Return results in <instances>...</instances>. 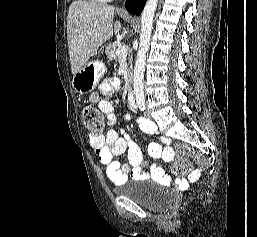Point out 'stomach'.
Masks as SVG:
<instances>
[{
  "label": "stomach",
  "mask_w": 257,
  "mask_h": 237,
  "mask_svg": "<svg viewBox=\"0 0 257 237\" xmlns=\"http://www.w3.org/2000/svg\"><path fill=\"white\" fill-rule=\"evenodd\" d=\"M104 65L100 61L87 62L73 77L72 86L79 94L93 91L104 75Z\"/></svg>",
  "instance_id": "0dacf381"
}]
</instances>
